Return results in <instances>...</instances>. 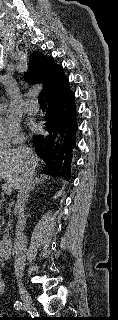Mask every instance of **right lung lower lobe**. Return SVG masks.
Returning <instances> with one entry per match:
<instances>
[{"label": "right lung lower lobe", "instance_id": "1", "mask_svg": "<svg viewBox=\"0 0 118 320\" xmlns=\"http://www.w3.org/2000/svg\"><path fill=\"white\" fill-rule=\"evenodd\" d=\"M45 100L48 103L44 118L46 133L35 135L33 146L47 164L45 174L69 180L77 130L74 93L66 86Z\"/></svg>", "mask_w": 118, "mask_h": 320}]
</instances>
